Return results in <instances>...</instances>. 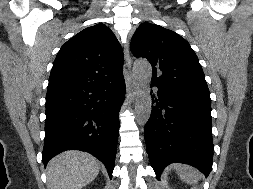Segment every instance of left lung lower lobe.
<instances>
[{"mask_svg":"<svg viewBox=\"0 0 253 189\" xmlns=\"http://www.w3.org/2000/svg\"><path fill=\"white\" fill-rule=\"evenodd\" d=\"M157 88V98L152 95L151 116L144 128L147 152L157 178L174 162L190 164L208 176L213 163L211 104Z\"/></svg>","mask_w":253,"mask_h":189,"instance_id":"0a47b994","label":"left lung lower lobe"}]
</instances>
